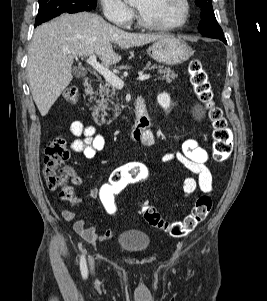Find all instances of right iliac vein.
I'll list each match as a JSON object with an SVG mask.
<instances>
[{
  "label": "right iliac vein",
  "instance_id": "63e3f726",
  "mask_svg": "<svg viewBox=\"0 0 267 301\" xmlns=\"http://www.w3.org/2000/svg\"><path fill=\"white\" fill-rule=\"evenodd\" d=\"M89 266H90L91 271L93 272L94 271V259L92 256L89 257Z\"/></svg>",
  "mask_w": 267,
  "mask_h": 301
}]
</instances>
